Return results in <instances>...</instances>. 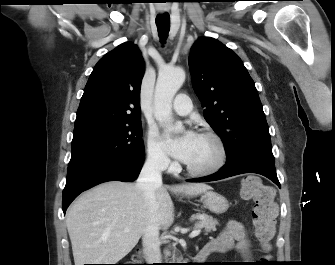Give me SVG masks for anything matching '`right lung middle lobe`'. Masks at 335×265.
Listing matches in <instances>:
<instances>
[{
  "label": "right lung middle lobe",
  "mask_w": 335,
  "mask_h": 265,
  "mask_svg": "<svg viewBox=\"0 0 335 265\" xmlns=\"http://www.w3.org/2000/svg\"><path fill=\"white\" fill-rule=\"evenodd\" d=\"M139 120L74 129L68 169L93 161L131 162L143 158Z\"/></svg>",
  "instance_id": "obj_1"
}]
</instances>
